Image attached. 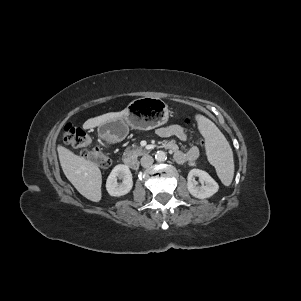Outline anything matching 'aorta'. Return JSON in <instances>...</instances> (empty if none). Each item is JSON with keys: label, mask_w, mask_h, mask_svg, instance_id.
Wrapping results in <instances>:
<instances>
[{"label": "aorta", "mask_w": 301, "mask_h": 301, "mask_svg": "<svg viewBox=\"0 0 301 301\" xmlns=\"http://www.w3.org/2000/svg\"><path fill=\"white\" fill-rule=\"evenodd\" d=\"M155 159L158 162H164L167 159V155L164 151H157L155 154Z\"/></svg>", "instance_id": "aorta-1"}]
</instances>
